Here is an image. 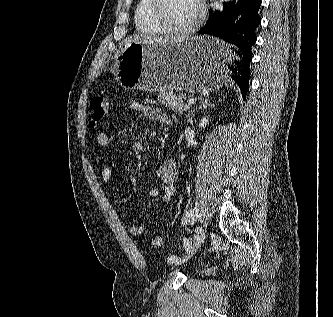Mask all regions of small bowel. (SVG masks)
Returning <instances> with one entry per match:
<instances>
[{"instance_id": "c3829d8e", "label": "small bowel", "mask_w": 333, "mask_h": 317, "mask_svg": "<svg viewBox=\"0 0 333 317\" xmlns=\"http://www.w3.org/2000/svg\"><path fill=\"white\" fill-rule=\"evenodd\" d=\"M128 107L135 112L142 113L147 119L169 124V117L159 108L155 106H150L143 104L137 99H130L128 102ZM96 141L99 146L103 148H109L111 146V139L108 134L104 131H100L96 135ZM109 155H114L117 163H121L122 158L119 154H113L108 152ZM114 173L113 165H106L102 170V180L105 184H108ZM156 174L162 182L161 188H152L149 192L151 197H160L161 201L169 205L172 198L176 192L175 182L178 178V168L174 160L168 159L164 161L156 170ZM168 213V209H165L158 219H162ZM145 231V226L143 225H132L128 227V232L132 235H141Z\"/></svg>"}]
</instances>
